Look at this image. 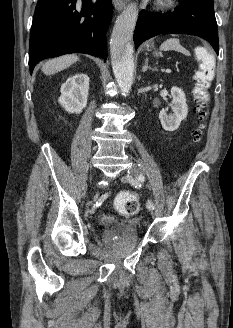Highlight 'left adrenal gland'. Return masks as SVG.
<instances>
[{
  "label": "left adrenal gland",
  "mask_w": 233,
  "mask_h": 328,
  "mask_svg": "<svg viewBox=\"0 0 233 328\" xmlns=\"http://www.w3.org/2000/svg\"><path fill=\"white\" fill-rule=\"evenodd\" d=\"M152 70V71H157V68H153L151 66H148V59L146 58L145 59V64L144 66L142 67V72H146L147 70Z\"/></svg>",
  "instance_id": "obj_1"
}]
</instances>
